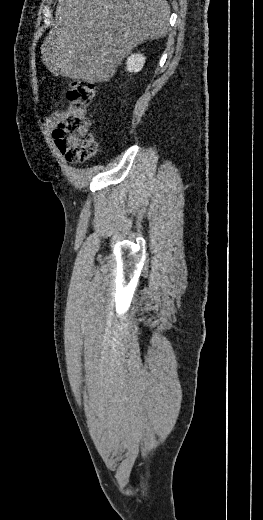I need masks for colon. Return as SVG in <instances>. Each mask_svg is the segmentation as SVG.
<instances>
[{
    "instance_id": "1",
    "label": "colon",
    "mask_w": 263,
    "mask_h": 520,
    "mask_svg": "<svg viewBox=\"0 0 263 520\" xmlns=\"http://www.w3.org/2000/svg\"><path fill=\"white\" fill-rule=\"evenodd\" d=\"M95 92V84L88 80L73 81L68 87V103L53 136L58 149L69 161H86L97 153L96 142L89 132L88 117Z\"/></svg>"
}]
</instances>
